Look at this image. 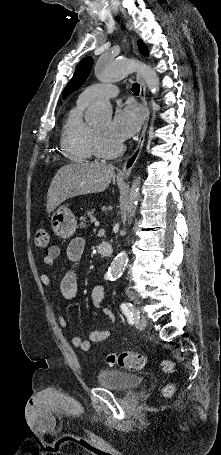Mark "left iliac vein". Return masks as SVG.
<instances>
[{
    "mask_svg": "<svg viewBox=\"0 0 221 455\" xmlns=\"http://www.w3.org/2000/svg\"><path fill=\"white\" fill-rule=\"evenodd\" d=\"M147 320L144 316L140 317L137 321L136 327L140 330L144 329L146 327Z\"/></svg>",
    "mask_w": 221,
    "mask_h": 455,
    "instance_id": "left-iliac-vein-1",
    "label": "left iliac vein"
}]
</instances>
